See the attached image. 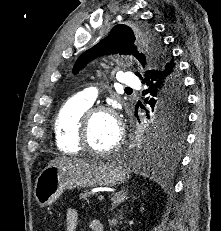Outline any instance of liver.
I'll return each mask as SVG.
<instances>
[{"label":"liver","mask_w":221,"mask_h":231,"mask_svg":"<svg viewBox=\"0 0 221 231\" xmlns=\"http://www.w3.org/2000/svg\"><path fill=\"white\" fill-rule=\"evenodd\" d=\"M80 161H83V160L77 159V158L59 157V158H55L54 160H51L48 164V167L71 164V163H76Z\"/></svg>","instance_id":"obj_1"}]
</instances>
